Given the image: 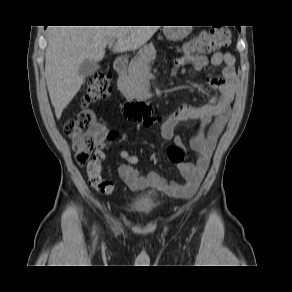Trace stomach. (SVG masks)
<instances>
[{
	"instance_id": "obj_1",
	"label": "stomach",
	"mask_w": 292,
	"mask_h": 292,
	"mask_svg": "<svg viewBox=\"0 0 292 292\" xmlns=\"http://www.w3.org/2000/svg\"><path fill=\"white\" fill-rule=\"evenodd\" d=\"M170 40H182L186 37V32L183 29H170L166 34Z\"/></svg>"
}]
</instances>
